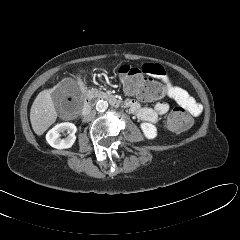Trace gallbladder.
<instances>
[{
    "mask_svg": "<svg viewBox=\"0 0 240 240\" xmlns=\"http://www.w3.org/2000/svg\"><path fill=\"white\" fill-rule=\"evenodd\" d=\"M75 90H77L76 84L71 80H67L51 93L58 113L70 112L76 106V100L68 101V97L73 96Z\"/></svg>",
    "mask_w": 240,
    "mask_h": 240,
    "instance_id": "1",
    "label": "gallbladder"
}]
</instances>
